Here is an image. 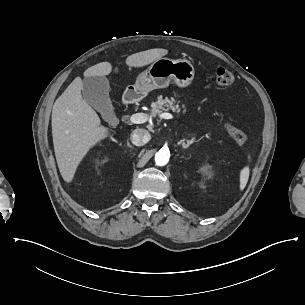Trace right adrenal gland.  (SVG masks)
I'll list each match as a JSON object with an SVG mask.
<instances>
[{"label":"right adrenal gland","mask_w":305,"mask_h":305,"mask_svg":"<svg viewBox=\"0 0 305 305\" xmlns=\"http://www.w3.org/2000/svg\"><path fill=\"white\" fill-rule=\"evenodd\" d=\"M126 144H127V146H128L130 149L132 148L128 142H126Z\"/></svg>","instance_id":"1"}]
</instances>
